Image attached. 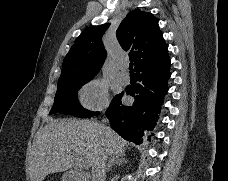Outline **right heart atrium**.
I'll use <instances>...</instances> for the list:
<instances>
[{"label":"right heart atrium","instance_id":"d8ad5b80","mask_svg":"<svg viewBox=\"0 0 228 181\" xmlns=\"http://www.w3.org/2000/svg\"><path fill=\"white\" fill-rule=\"evenodd\" d=\"M82 102L89 109L105 108L108 104L107 86L100 80H94L83 91Z\"/></svg>","mask_w":228,"mask_h":181}]
</instances>
